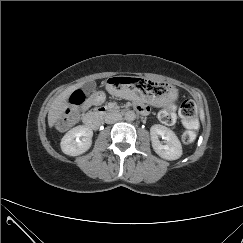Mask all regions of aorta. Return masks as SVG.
<instances>
[{"label": "aorta", "instance_id": "aorta-1", "mask_svg": "<svg viewBox=\"0 0 243 243\" xmlns=\"http://www.w3.org/2000/svg\"><path fill=\"white\" fill-rule=\"evenodd\" d=\"M136 119V114L134 111H127L125 113V120L128 122L134 121Z\"/></svg>", "mask_w": 243, "mask_h": 243}]
</instances>
